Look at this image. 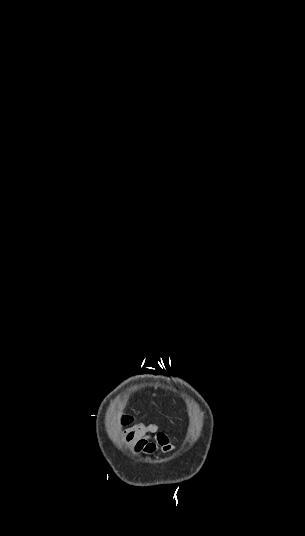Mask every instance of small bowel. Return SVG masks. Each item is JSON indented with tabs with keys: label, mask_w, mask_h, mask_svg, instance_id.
Returning <instances> with one entry per match:
<instances>
[{
	"label": "small bowel",
	"mask_w": 305,
	"mask_h": 536,
	"mask_svg": "<svg viewBox=\"0 0 305 536\" xmlns=\"http://www.w3.org/2000/svg\"><path fill=\"white\" fill-rule=\"evenodd\" d=\"M122 440L137 454L151 455L156 451L174 450L164 427H131L123 431Z\"/></svg>",
	"instance_id": "obj_1"
}]
</instances>
